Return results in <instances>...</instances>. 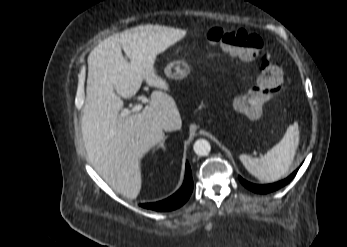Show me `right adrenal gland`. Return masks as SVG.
<instances>
[{
  "label": "right adrenal gland",
  "mask_w": 347,
  "mask_h": 247,
  "mask_svg": "<svg viewBox=\"0 0 347 247\" xmlns=\"http://www.w3.org/2000/svg\"><path fill=\"white\" fill-rule=\"evenodd\" d=\"M167 137H168V136H165L163 142L160 144V146H161V148H162L163 150H165L164 142H165V140L167 139Z\"/></svg>",
  "instance_id": "right-adrenal-gland-1"
}]
</instances>
